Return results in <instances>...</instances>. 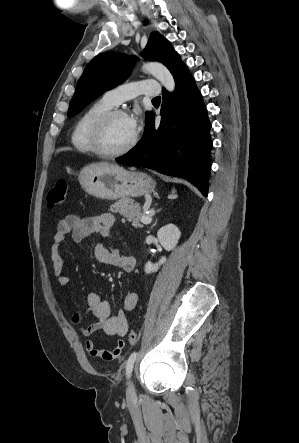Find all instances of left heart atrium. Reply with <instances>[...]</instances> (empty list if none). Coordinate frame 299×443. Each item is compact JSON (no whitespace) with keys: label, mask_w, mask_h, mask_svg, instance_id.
<instances>
[{"label":"left heart atrium","mask_w":299,"mask_h":443,"mask_svg":"<svg viewBox=\"0 0 299 443\" xmlns=\"http://www.w3.org/2000/svg\"><path fill=\"white\" fill-rule=\"evenodd\" d=\"M129 123L131 127L136 131L138 127V116L136 114H133L131 116H128Z\"/></svg>","instance_id":"39dd6f15"}]
</instances>
